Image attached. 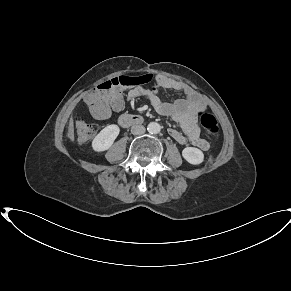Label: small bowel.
<instances>
[{"mask_svg": "<svg viewBox=\"0 0 291 291\" xmlns=\"http://www.w3.org/2000/svg\"><path fill=\"white\" fill-rule=\"evenodd\" d=\"M144 82L151 79L150 75L141 77ZM160 88L171 89L185 94L184 99H178L172 103L164 102L159 97ZM146 98L155 111L163 116L171 117L176 121L183 132L170 129V136L180 144L189 143L201 150L210 148L209 142L202 137L200 128L195 121L198 112L206 109V102L198 96L187 84L164 75L154 76V86L151 89L135 86L126 94L123 89H113L102 94L90 92L85 95L84 102L89 106L91 115L97 120L107 119L111 111L120 112L125 102H131L136 98Z\"/></svg>", "mask_w": 291, "mask_h": 291, "instance_id": "small-bowel-1", "label": "small bowel"}]
</instances>
